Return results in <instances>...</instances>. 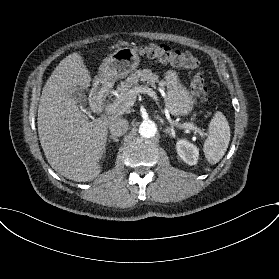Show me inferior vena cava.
Wrapping results in <instances>:
<instances>
[{
	"instance_id": "inferior-vena-cava-1",
	"label": "inferior vena cava",
	"mask_w": 279,
	"mask_h": 279,
	"mask_svg": "<svg viewBox=\"0 0 279 279\" xmlns=\"http://www.w3.org/2000/svg\"><path fill=\"white\" fill-rule=\"evenodd\" d=\"M128 126V121L123 116L117 115L109 126V130L112 136L120 137L127 132Z\"/></svg>"
}]
</instances>
